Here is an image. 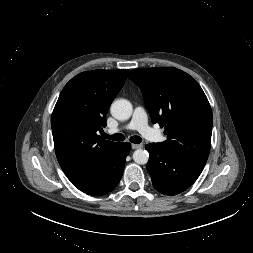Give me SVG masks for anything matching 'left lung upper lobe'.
<instances>
[{"mask_svg": "<svg viewBox=\"0 0 253 253\" xmlns=\"http://www.w3.org/2000/svg\"><path fill=\"white\" fill-rule=\"evenodd\" d=\"M153 123L165 127L167 140L159 145L170 154L204 167L212 134V111L200 85L173 67L131 70Z\"/></svg>", "mask_w": 253, "mask_h": 253, "instance_id": "obj_1", "label": "left lung upper lobe"}]
</instances>
